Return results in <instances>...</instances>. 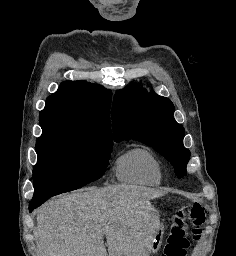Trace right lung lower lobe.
<instances>
[{"mask_svg":"<svg viewBox=\"0 0 236 256\" xmlns=\"http://www.w3.org/2000/svg\"><path fill=\"white\" fill-rule=\"evenodd\" d=\"M47 199H49V198H46V199H43V200H40V201H35V202L30 201L29 211L32 212L35 208H37L38 206H40V205H41L42 203H44Z\"/></svg>","mask_w":236,"mask_h":256,"instance_id":"1","label":"right lung lower lobe"}]
</instances>
